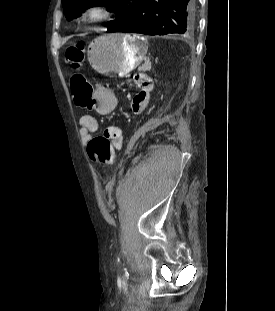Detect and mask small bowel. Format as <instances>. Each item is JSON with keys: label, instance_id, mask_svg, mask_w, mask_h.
I'll use <instances>...</instances> for the list:
<instances>
[{"label": "small bowel", "instance_id": "1", "mask_svg": "<svg viewBox=\"0 0 275 311\" xmlns=\"http://www.w3.org/2000/svg\"><path fill=\"white\" fill-rule=\"evenodd\" d=\"M137 86L133 92V101L130 107L131 112L139 114L144 112L145 108H150L148 93L154 92L156 86L155 80H150V73H135ZM118 106V99L115 94L105 86H98L95 90V99L92 105L87 106L88 112H96L100 115H107L113 112ZM81 138L87 142L92 134L98 131L97 121L90 115H83L79 120ZM102 132L109 137L116 149H120L123 142V129L117 124H107Z\"/></svg>", "mask_w": 275, "mask_h": 311}]
</instances>
